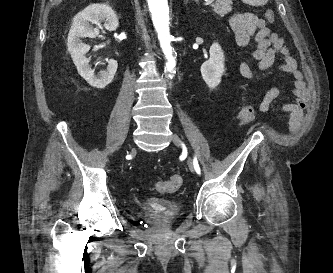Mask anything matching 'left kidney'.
Returning <instances> with one entry per match:
<instances>
[{
	"mask_svg": "<svg viewBox=\"0 0 333 273\" xmlns=\"http://www.w3.org/2000/svg\"><path fill=\"white\" fill-rule=\"evenodd\" d=\"M209 53L210 58L201 65V74L208 87L214 89L220 84L225 71L224 53L216 42L210 47Z\"/></svg>",
	"mask_w": 333,
	"mask_h": 273,
	"instance_id": "1",
	"label": "left kidney"
}]
</instances>
